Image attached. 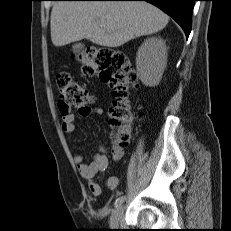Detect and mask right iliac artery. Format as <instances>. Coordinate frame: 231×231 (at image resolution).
I'll use <instances>...</instances> for the list:
<instances>
[{
  "label": "right iliac artery",
  "mask_w": 231,
  "mask_h": 231,
  "mask_svg": "<svg viewBox=\"0 0 231 231\" xmlns=\"http://www.w3.org/2000/svg\"><path fill=\"white\" fill-rule=\"evenodd\" d=\"M124 200H125V196H120L119 198H117L114 203L115 207L121 205L124 202Z\"/></svg>",
  "instance_id": "1"
}]
</instances>
